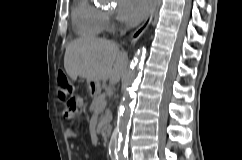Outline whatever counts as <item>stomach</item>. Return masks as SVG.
I'll return each mask as SVG.
<instances>
[{
    "label": "stomach",
    "mask_w": 242,
    "mask_h": 160,
    "mask_svg": "<svg viewBox=\"0 0 242 160\" xmlns=\"http://www.w3.org/2000/svg\"><path fill=\"white\" fill-rule=\"evenodd\" d=\"M88 90L91 96H97L100 93V82L87 81Z\"/></svg>",
    "instance_id": "stomach-1"
}]
</instances>
